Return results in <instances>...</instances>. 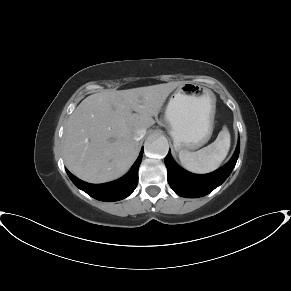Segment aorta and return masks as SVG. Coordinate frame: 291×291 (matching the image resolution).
Returning <instances> with one entry per match:
<instances>
[{
	"instance_id": "obj_1",
	"label": "aorta",
	"mask_w": 291,
	"mask_h": 291,
	"mask_svg": "<svg viewBox=\"0 0 291 291\" xmlns=\"http://www.w3.org/2000/svg\"><path fill=\"white\" fill-rule=\"evenodd\" d=\"M168 150V141L163 136L151 137L145 142V153L150 158H163Z\"/></svg>"
}]
</instances>
